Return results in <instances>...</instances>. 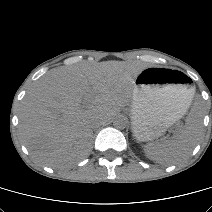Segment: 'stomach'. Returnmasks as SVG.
<instances>
[{
  "mask_svg": "<svg viewBox=\"0 0 212 212\" xmlns=\"http://www.w3.org/2000/svg\"><path fill=\"white\" fill-rule=\"evenodd\" d=\"M190 82L177 70L147 67L140 71L131 104L132 130L137 140L160 137L186 113L195 93Z\"/></svg>",
  "mask_w": 212,
  "mask_h": 212,
  "instance_id": "0dacf381",
  "label": "stomach"
}]
</instances>
